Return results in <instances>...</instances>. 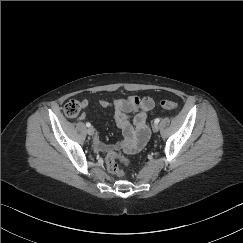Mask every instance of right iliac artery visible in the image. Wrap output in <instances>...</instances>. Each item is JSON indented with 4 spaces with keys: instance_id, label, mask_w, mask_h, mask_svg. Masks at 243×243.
Returning a JSON list of instances; mask_svg holds the SVG:
<instances>
[{
    "instance_id": "right-iliac-artery-1",
    "label": "right iliac artery",
    "mask_w": 243,
    "mask_h": 243,
    "mask_svg": "<svg viewBox=\"0 0 243 243\" xmlns=\"http://www.w3.org/2000/svg\"><path fill=\"white\" fill-rule=\"evenodd\" d=\"M87 127H91V124L89 122L86 123Z\"/></svg>"
}]
</instances>
